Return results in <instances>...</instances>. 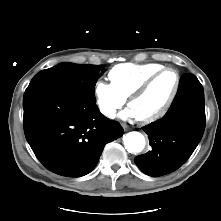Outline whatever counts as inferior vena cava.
<instances>
[{
    "label": "inferior vena cava",
    "instance_id": "obj_1",
    "mask_svg": "<svg viewBox=\"0 0 221 221\" xmlns=\"http://www.w3.org/2000/svg\"><path fill=\"white\" fill-rule=\"evenodd\" d=\"M115 111H107V115L109 117H113L114 116Z\"/></svg>",
    "mask_w": 221,
    "mask_h": 221
}]
</instances>
